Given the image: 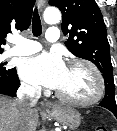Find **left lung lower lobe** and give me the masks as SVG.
<instances>
[{
  "instance_id": "1",
  "label": "left lung lower lobe",
  "mask_w": 117,
  "mask_h": 131,
  "mask_svg": "<svg viewBox=\"0 0 117 131\" xmlns=\"http://www.w3.org/2000/svg\"><path fill=\"white\" fill-rule=\"evenodd\" d=\"M100 106H102V104L100 103ZM103 107V106H102ZM105 108V107H104ZM109 110V109H108ZM111 112H113V114L116 116L117 118V110L116 109H110Z\"/></svg>"
}]
</instances>
